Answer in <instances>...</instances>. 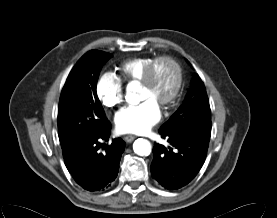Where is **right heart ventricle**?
<instances>
[{
	"label": "right heart ventricle",
	"mask_w": 277,
	"mask_h": 218,
	"mask_svg": "<svg viewBox=\"0 0 277 218\" xmlns=\"http://www.w3.org/2000/svg\"><path fill=\"white\" fill-rule=\"evenodd\" d=\"M152 60V57H136L125 61L121 67L124 77L131 82H141Z\"/></svg>",
	"instance_id": "right-heart-ventricle-1"
}]
</instances>
